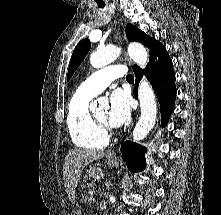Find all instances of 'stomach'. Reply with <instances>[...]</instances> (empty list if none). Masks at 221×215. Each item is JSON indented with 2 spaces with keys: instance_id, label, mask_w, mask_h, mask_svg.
<instances>
[{
  "instance_id": "stomach-1",
  "label": "stomach",
  "mask_w": 221,
  "mask_h": 215,
  "mask_svg": "<svg viewBox=\"0 0 221 215\" xmlns=\"http://www.w3.org/2000/svg\"><path fill=\"white\" fill-rule=\"evenodd\" d=\"M106 163L112 167L117 166L119 164L118 159L116 157L111 158L108 156L106 157ZM88 172H89L90 177H92L94 180H99V179L103 178V176H104L101 168H99L97 166H90ZM73 215H81V212L78 210V211L74 212Z\"/></svg>"
}]
</instances>
